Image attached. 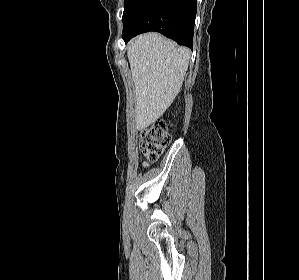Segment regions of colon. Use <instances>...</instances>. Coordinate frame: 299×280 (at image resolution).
Listing matches in <instances>:
<instances>
[{
	"label": "colon",
	"mask_w": 299,
	"mask_h": 280,
	"mask_svg": "<svg viewBox=\"0 0 299 280\" xmlns=\"http://www.w3.org/2000/svg\"><path fill=\"white\" fill-rule=\"evenodd\" d=\"M170 143V136L164 121L157 120L141 134V149L146 165L155 162Z\"/></svg>",
	"instance_id": "colon-1"
}]
</instances>
